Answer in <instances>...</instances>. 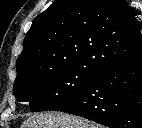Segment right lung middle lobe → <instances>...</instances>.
I'll use <instances>...</instances> for the list:
<instances>
[{"instance_id":"obj_1","label":"right lung middle lobe","mask_w":142,"mask_h":128,"mask_svg":"<svg viewBox=\"0 0 142 128\" xmlns=\"http://www.w3.org/2000/svg\"><path fill=\"white\" fill-rule=\"evenodd\" d=\"M94 77L83 66L45 69L16 79L13 92L18 102H29L32 112L56 110L81 94Z\"/></svg>"}]
</instances>
